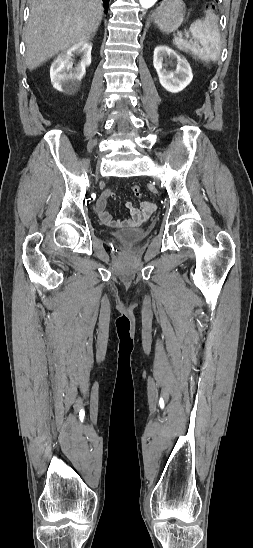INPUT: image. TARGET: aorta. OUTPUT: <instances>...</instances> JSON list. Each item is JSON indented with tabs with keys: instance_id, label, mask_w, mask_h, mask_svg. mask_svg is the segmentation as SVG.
<instances>
[{
	"instance_id": "obj_1",
	"label": "aorta",
	"mask_w": 253,
	"mask_h": 548,
	"mask_svg": "<svg viewBox=\"0 0 253 548\" xmlns=\"http://www.w3.org/2000/svg\"><path fill=\"white\" fill-rule=\"evenodd\" d=\"M139 2L143 8L148 9L154 6L158 2V0H139Z\"/></svg>"
}]
</instances>
